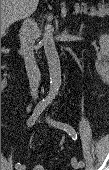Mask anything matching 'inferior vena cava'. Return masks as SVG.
<instances>
[{
	"mask_svg": "<svg viewBox=\"0 0 109 170\" xmlns=\"http://www.w3.org/2000/svg\"><path fill=\"white\" fill-rule=\"evenodd\" d=\"M31 13L24 16L20 30L21 53L24 57L27 76L29 79L30 93L34 100L38 98L40 85V71L34 56L36 23L30 18Z\"/></svg>",
	"mask_w": 109,
	"mask_h": 170,
	"instance_id": "602c4592",
	"label": "inferior vena cava"
}]
</instances>
